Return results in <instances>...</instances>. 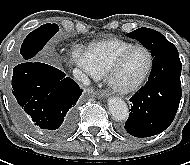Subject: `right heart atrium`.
<instances>
[{
  "label": "right heart atrium",
  "instance_id": "1",
  "mask_svg": "<svg viewBox=\"0 0 190 165\" xmlns=\"http://www.w3.org/2000/svg\"><path fill=\"white\" fill-rule=\"evenodd\" d=\"M73 61L77 67H79L83 72L90 75L93 78H98V75L93 70L86 50L82 48H76L73 52Z\"/></svg>",
  "mask_w": 190,
  "mask_h": 165
}]
</instances>
